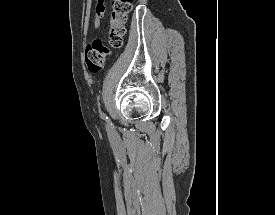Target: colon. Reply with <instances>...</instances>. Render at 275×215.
Wrapping results in <instances>:
<instances>
[{
    "label": "colon",
    "instance_id": "obj_1",
    "mask_svg": "<svg viewBox=\"0 0 275 215\" xmlns=\"http://www.w3.org/2000/svg\"><path fill=\"white\" fill-rule=\"evenodd\" d=\"M112 6L111 26L106 42L95 38L85 47V64L92 73L100 72L104 68L107 58L123 43L125 24L132 9V0H113Z\"/></svg>",
    "mask_w": 275,
    "mask_h": 215
}]
</instances>
